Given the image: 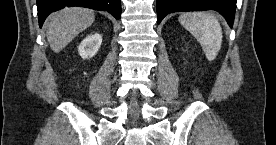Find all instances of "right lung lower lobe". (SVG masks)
I'll return each mask as SVG.
<instances>
[{
    "instance_id": "1",
    "label": "right lung lower lobe",
    "mask_w": 276,
    "mask_h": 145,
    "mask_svg": "<svg viewBox=\"0 0 276 145\" xmlns=\"http://www.w3.org/2000/svg\"><path fill=\"white\" fill-rule=\"evenodd\" d=\"M66 6H83L99 11H108L116 19H120V0H37L39 26L42 27L46 17Z\"/></svg>"
}]
</instances>
